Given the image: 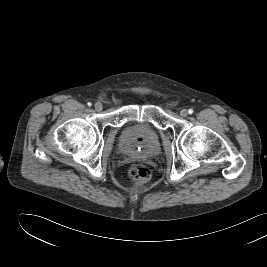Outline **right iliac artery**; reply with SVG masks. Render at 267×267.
<instances>
[{"instance_id":"right-iliac-artery-1","label":"right iliac artery","mask_w":267,"mask_h":267,"mask_svg":"<svg viewBox=\"0 0 267 267\" xmlns=\"http://www.w3.org/2000/svg\"><path fill=\"white\" fill-rule=\"evenodd\" d=\"M88 106H91L92 104L90 102L87 103Z\"/></svg>"}]
</instances>
